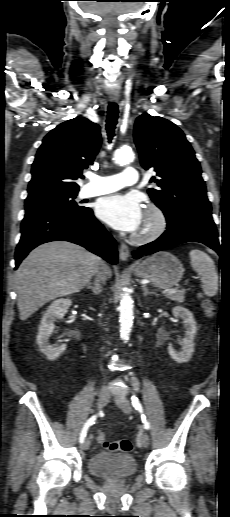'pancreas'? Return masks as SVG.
<instances>
[{"label": "pancreas", "instance_id": "obj_1", "mask_svg": "<svg viewBox=\"0 0 230 517\" xmlns=\"http://www.w3.org/2000/svg\"><path fill=\"white\" fill-rule=\"evenodd\" d=\"M185 291L184 290H177L175 293H172L171 295H169V299L172 300V301H176V302H184L185 300Z\"/></svg>", "mask_w": 230, "mask_h": 517}]
</instances>
